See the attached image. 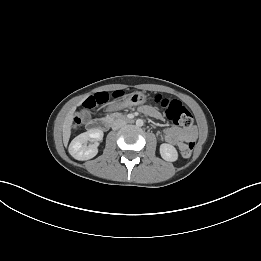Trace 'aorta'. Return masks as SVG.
Listing matches in <instances>:
<instances>
[{"mask_svg": "<svg viewBox=\"0 0 261 261\" xmlns=\"http://www.w3.org/2000/svg\"><path fill=\"white\" fill-rule=\"evenodd\" d=\"M136 125H137L138 127L143 126V120H142V119H137V120H136Z\"/></svg>", "mask_w": 261, "mask_h": 261, "instance_id": "1", "label": "aorta"}]
</instances>
